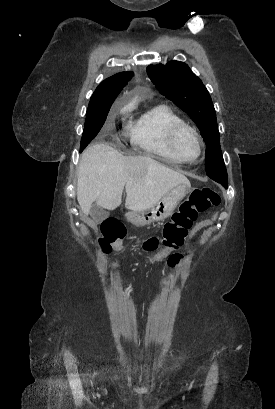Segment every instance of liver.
Wrapping results in <instances>:
<instances>
[{
	"mask_svg": "<svg viewBox=\"0 0 275 409\" xmlns=\"http://www.w3.org/2000/svg\"><path fill=\"white\" fill-rule=\"evenodd\" d=\"M189 180L159 164L150 156H123L109 144H92L84 150L77 172V200L84 215L92 202L97 207L114 211L122 202L126 188V209L145 211L158 202L171 188Z\"/></svg>",
	"mask_w": 275,
	"mask_h": 409,
	"instance_id": "obj_1",
	"label": "liver"
}]
</instances>
